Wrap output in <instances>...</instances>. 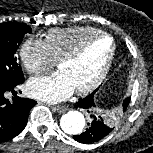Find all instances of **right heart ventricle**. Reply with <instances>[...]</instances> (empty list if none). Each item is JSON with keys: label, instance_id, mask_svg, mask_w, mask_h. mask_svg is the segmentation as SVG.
I'll list each match as a JSON object with an SVG mask.
<instances>
[{"label": "right heart ventricle", "instance_id": "obj_1", "mask_svg": "<svg viewBox=\"0 0 153 153\" xmlns=\"http://www.w3.org/2000/svg\"><path fill=\"white\" fill-rule=\"evenodd\" d=\"M101 31L91 26H76L62 29H53L44 35L46 44L54 61L73 51L85 39L99 34Z\"/></svg>", "mask_w": 153, "mask_h": 153}]
</instances>
